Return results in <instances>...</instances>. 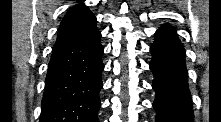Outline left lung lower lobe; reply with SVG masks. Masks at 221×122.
Masks as SVG:
<instances>
[{
  "label": "left lung lower lobe",
  "instance_id": "obj_1",
  "mask_svg": "<svg viewBox=\"0 0 221 122\" xmlns=\"http://www.w3.org/2000/svg\"><path fill=\"white\" fill-rule=\"evenodd\" d=\"M150 52V69L154 74L152 87L156 91L153 103L156 122H192L185 50L171 26L163 25L155 33Z\"/></svg>",
  "mask_w": 221,
  "mask_h": 122
}]
</instances>
